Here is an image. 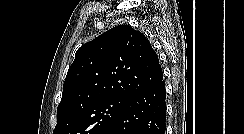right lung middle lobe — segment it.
Instances as JSON below:
<instances>
[{
    "instance_id": "obj_1",
    "label": "right lung middle lobe",
    "mask_w": 244,
    "mask_h": 134,
    "mask_svg": "<svg viewBox=\"0 0 244 134\" xmlns=\"http://www.w3.org/2000/svg\"><path fill=\"white\" fill-rule=\"evenodd\" d=\"M126 98L113 97L89 104L58 120L53 134H102L117 118Z\"/></svg>"
}]
</instances>
